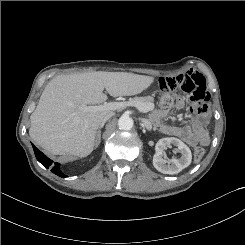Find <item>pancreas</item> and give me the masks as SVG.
<instances>
[{"label":"pancreas","mask_w":245,"mask_h":245,"mask_svg":"<svg viewBox=\"0 0 245 245\" xmlns=\"http://www.w3.org/2000/svg\"><path fill=\"white\" fill-rule=\"evenodd\" d=\"M154 101V99L150 96L147 97H134L129 99L128 102H130L132 104V106L135 107H140V106H145L148 103H152Z\"/></svg>","instance_id":"1"}]
</instances>
